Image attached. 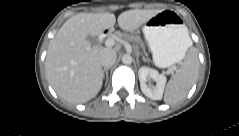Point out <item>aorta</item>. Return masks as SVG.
Masks as SVG:
<instances>
[{"instance_id":"762f6f07","label":"aorta","mask_w":239,"mask_h":136,"mask_svg":"<svg viewBox=\"0 0 239 136\" xmlns=\"http://www.w3.org/2000/svg\"><path fill=\"white\" fill-rule=\"evenodd\" d=\"M132 61H133V59H132L131 55H129V54L123 55V57H122V62H123L124 64L129 65V64L132 63Z\"/></svg>"}]
</instances>
